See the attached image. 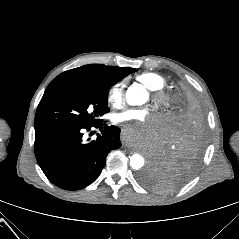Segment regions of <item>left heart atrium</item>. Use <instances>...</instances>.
Returning <instances> with one entry per match:
<instances>
[{
  "label": "left heart atrium",
  "instance_id": "left-heart-atrium-1",
  "mask_svg": "<svg viewBox=\"0 0 239 239\" xmlns=\"http://www.w3.org/2000/svg\"><path fill=\"white\" fill-rule=\"evenodd\" d=\"M113 120L115 123L137 121L139 124L143 126V128L150 130L154 128V125L158 121V118L148 109H127L122 112L114 114ZM127 132L131 136L132 140H135L140 135L139 131L130 126L127 127Z\"/></svg>",
  "mask_w": 239,
  "mask_h": 239
}]
</instances>
